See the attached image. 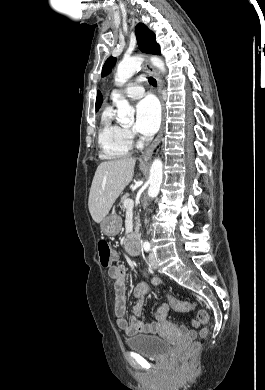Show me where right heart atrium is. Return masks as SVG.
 <instances>
[{
    "instance_id": "right-heart-atrium-1",
    "label": "right heart atrium",
    "mask_w": 265,
    "mask_h": 390,
    "mask_svg": "<svg viewBox=\"0 0 265 390\" xmlns=\"http://www.w3.org/2000/svg\"><path fill=\"white\" fill-rule=\"evenodd\" d=\"M126 131H127V136L129 138V140L131 142H133V140L135 139V133L130 129H126Z\"/></svg>"
}]
</instances>
